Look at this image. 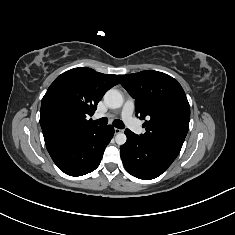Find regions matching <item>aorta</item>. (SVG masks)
Masks as SVG:
<instances>
[{"label": "aorta", "instance_id": "obj_1", "mask_svg": "<svg viewBox=\"0 0 235 235\" xmlns=\"http://www.w3.org/2000/svg\"><path fill=\"white\" fill-rule=\"evenodd\" d=\"M105 104L112 109H116L122 106L123 97L121 93L116 89L108 90L104 95ZM127 137L124 133H118L115 137V141L118 145L126 143Z\"/></svg>", "mask_w": 235, "mask_h": 235}]
</instances>
